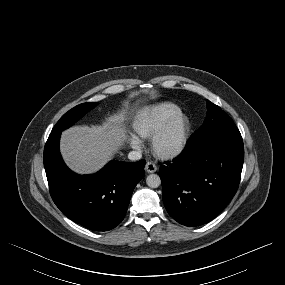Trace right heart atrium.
Returning <instances> with one entry per match:
<instances>
[{
    "instance_id": "1",
    "label": "right heart atrium",
    "mask_w": 285,
    "mask_h": 285,
    "mask_svg": "<svg viewBox=\"0 0 285 285\" xmlns=\"http://www.w3.org/2000/svg\"><path fill=\"white\" fill-rule=\"evenodd\" d=\"M130 141L133 147L135 148H139L141 146V141L138 137H136L135 135H132L130 137Z\"/></svg>"
}]
</instances>
